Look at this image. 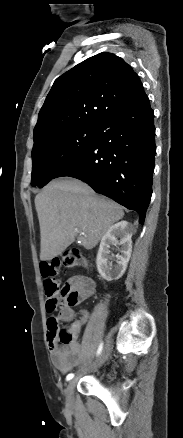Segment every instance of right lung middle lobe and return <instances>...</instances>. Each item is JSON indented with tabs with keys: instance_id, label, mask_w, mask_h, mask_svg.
Wrapping results in <instances>:
<instances>
[{
	"instance_id": "dd1d6c3e",
	"label": "right lung middle lobe",
	"mask_w": 183,
	"mask_h": 438,
	"mask_svg": "<svg viewBox=\"0 0 183 438\" xmlns=\"http://www.w3.org/2000/svg\"><path fill=\"white\" fill-rule=\"evenodd\" d=\"M97 126H78L34 140L31 185L43 187L92 142Z\"/></svg>"
}]
</instances>
